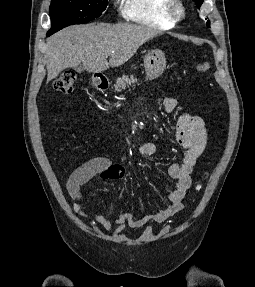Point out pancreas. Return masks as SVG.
<instances>
[{
  "instance_id": "pancreas-1",
  "label": "pancreas",
  "mask_w": 255,
  "mask_h": 287,
  "mask_svg": "<svg viewBox=\"0 0 255 287\" xmlns=\"http://www.w3.org/2000/svg\"><path fill=\"white\" fill-rule=\"evenodd\" d=\"M136 82H138V80L137 78H134V76H122V78H118V80H116V84H114L115 92L126 90V88H130V86H133Z\"/></svg>"
}]
</instances>
